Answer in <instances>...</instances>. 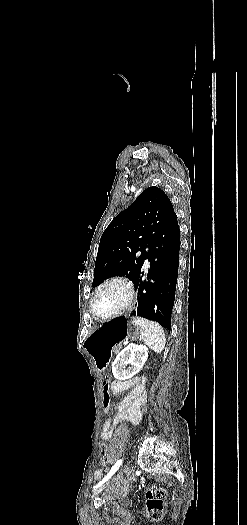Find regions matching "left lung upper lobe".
I'll return each instance as SVG.
<instances>
[{
    "mask_svg": "<svg viewBox=\"0 0 247 525\" xmlns=\"http://www.w3.org/2000/svg\"><path fill=\"white\" fill-rule=\"evenodd\" d=\"M174 213L170 199L160 188L145 189L103 232L93 285L124 275L133 282L147 257L145 248Z\"/></svg>",
    "mask_w": 247,
    "mask_h": 525,
    "instance_id": "obj_1",
    "label": "left lung upper lobe"
}]
</instances>
